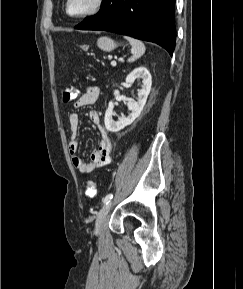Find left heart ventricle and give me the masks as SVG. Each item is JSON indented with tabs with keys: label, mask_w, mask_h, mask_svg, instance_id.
I'll list each match as a JSON object with an SVG mask.
<instances>
[{
	"label": "left heart ventricle",
	"mask_w": 243,
	"mask_h": 289,
	"mask_svg": "<svg viewBox=\"0 0 243 289\" xmlns=\"http://www.w3.org/2000/svg\"><path fill=\"white\" fill-rule=\"evenodd\" d=\"M94 0H71L70 12L73 14H79L87 11L93 4Z\"/></svg>",
	"instance_id": "b2bd125f"
}]
</instances>
